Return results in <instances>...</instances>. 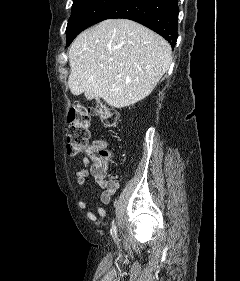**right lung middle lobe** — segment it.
Masks as SVG:
<instances>
[{"mask_svg": "<svg viewBox=\"0 0 240 281\" xmlns=\"http://www.w3.org/2000/svg\"><path fill=\"white\" fill-rule=\"evenodd\" d=\"M115 1L117 0H74L66 29L67 46L82 30L93 25Z\"/></svg>", "mask_w": 240, "mask_h": 281, "instance_id": "dd1d6c3e", "label": "right lung middle lobe"}]
</instances>
